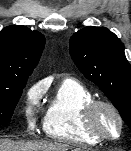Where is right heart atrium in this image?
<instances>
[{
  "label": "right heart atrium",
  "instance_id": "1",
  "mask_svg": "<svg viewBox=\"0 0 131 151\" xmlns=\"http://www.w3.org/2000/svg\"><path fill=\"white\" fill-rule=\"evenodd\" d=\"M43 91V85L37 83L32 85L26 92L25 115L30 126H33L34 124V116L38 110Z\"/></svg>",
  "mask_w": 131,
  "mask_h": 151
}]
</instances>
